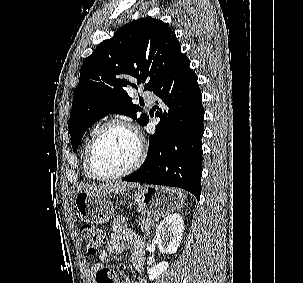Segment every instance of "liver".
Masks as SVG:
<instances>
[{
	"instance_id": "obj_1",
	"label": "liver",
	"mask_w": 303,
	"mask_h": 283,
	"mask_svg": "<svg viewBox=\"0 0 303 283\" xmlns=\"http://www.w3.org/2000/svg\"><path fill=\"white\" fill-rule=\"evenodd\" d=\"M134 187H139L137 184L129 183V182H107L105 184H83L79 186L78 191L84 192L89 195H106L111 193H122L127 189H132Z\"/></svg>"
}]
</instances>
